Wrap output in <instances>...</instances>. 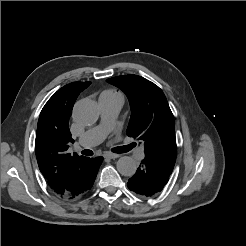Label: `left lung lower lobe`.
Wrapping results in <instances>:
<instances>
[{
  "label": "left lung lower lobe",
  "mask_w": 246,
  "mask_h": 246,
  "mask_svg": "<svg viewBox=\"0 0 246 246\" xmlns=\"http://www.w3.org/2000/svg\"><path fill=\"white\" fill-rule=\"evenodd\" d=\"M172 171L153 158L145 157L127 186L141 198L152 197L164 188Z\"/></svg>",
  "instance_id": "left-lung-lower-lobe-1"
}]
</instances>
